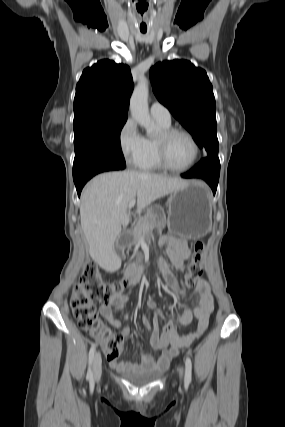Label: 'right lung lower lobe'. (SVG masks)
<instances>
[{"label": "right lung lower lobe", "mask_w": 285, "mask_h": 427, "mask_svg": "<svg viewBox=\"0 0 285 427\" xmlns=\"http://www.w3.org/2000/svg\"><path fill=\"white\" fill-rule=\"evenodd\" d=\"M124 168L125 162H115L104 158L91 160L90 162L85 164L78 172L73 174V179L78 196H80L81 190L85 183L96 174L111 170H122Z\"/></svg>", "instance_id": "right-lung-lower-lobe-1"}]
</instances>
